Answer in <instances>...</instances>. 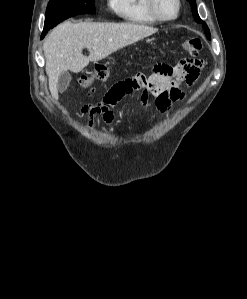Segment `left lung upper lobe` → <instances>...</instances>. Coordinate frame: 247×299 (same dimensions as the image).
Segmentation results:
<instances>
[{
  "label": "left lung upper lobe",
  "instance_id": "5c2ea615",
  "mask_svg": "<svg viewBox=\"0 0 247 299\" xmlns=\"http://www.w3.org/2000/svg\"><path fill=\"white\" fill-rule=\"evenodd\" d=\"M187 1L190 2V5L192 7V14H193L194 19L196 20V22L203 24V28L205 30V34H206L207 38L210 39V31H209L206 23L204 21H202L200 19L199 15H198L197 7H196V1L195 0H187Z\"/></svg>",
  "mask_w": 247,
  "mask_h": 299
}]
</instances>
